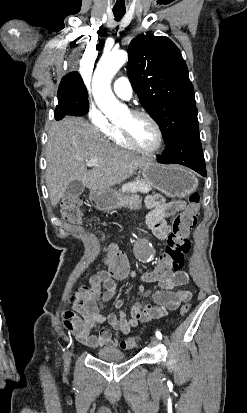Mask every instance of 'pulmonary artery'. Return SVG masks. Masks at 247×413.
I'll use <instances>...</instances> for the list:
<instances>
[{
    "instance_id": "1",
    "label": "pulmonary artery",
    "mask_w": 247,
    "mask_h": 413,
    "mask_svg": "<svg viewBox=\"0 0 247 413\" xmlns=\"http://www.w3.org/2000/svg\"><path fill=\"white\" fill-rule=\"evenodd\" d=\"M115 94L125 100H129L133 95V86L127 76L116 78L112 84Z\"/></svg>"
}]
</instances>
